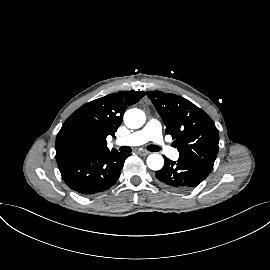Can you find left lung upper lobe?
<instances>
[{"label": "left lung upper lobe", "mask_w": 270, "mask_h": 270, "mask_svg": "<svg viewBox=\"0 0 270 270\" xmlns=\"http://www.w3.org/2000/svg\"><path fill=\"white\" fill-rule=\"evenodd\" d=\"M170 134L179 158L191 160L212 170L219 143V133L212 119L185 98L160 91H147Z\"/></svg>", "instance_id": "left-lung-upper-lobe-1"}]
</instances>
